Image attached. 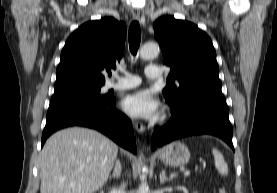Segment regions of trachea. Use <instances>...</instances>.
I'll use <instances>...</instances> for the list:
<instances>
[{"label":"trachea","mask_w":277,"mask_h":193,"mask_svg":"<svg viewBox=\"0 0 277 193\" xmlns=\"http://www.w3.org/2000/svg\"><path fill=\"white\" fill-rule=\"evenodd\" d=\"M141 42V30L137 21H133L129 27V47L133 55L137 54Z\"/></svg>","instance_id":"3493384b"}]
</instances>
